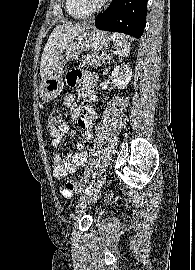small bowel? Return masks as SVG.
I'll return each mask as SVG.
<instances>
[{"label":"small bowel","mask_w":195,"mask_h":270,"mask_svg":"<svg viewBox=\"0 0 195 270\" xmlns=\"http://www.w3.org/2000/svg\"><path fill=\"white\" fill-rule=\"evenodd\" d=\"M66 80L69 86L81 85L83 96L89 101L94 100L95 78L92 74L82 70H72L67 74ZM74 102L75 96L73 94H67L63 99V104L66 108L73 106ZM72 116L76 119L81 130V141L77 144L76 152H69L64 160H61L59 156L54 158L52 173L58 181L71 179L79 167L87 164L88 155L84 146L93 140L92 129L96 119L93 107L89 104L78 107L73 110ZM48 131L52 138L51 144L56 147L68 134L69 126L67 123H61L59 126L50 127ZM61 193L66 198L71 197V192L65 188H61Z\"/></svg>","instance_id":"c3829d8e"}]
</instances>
